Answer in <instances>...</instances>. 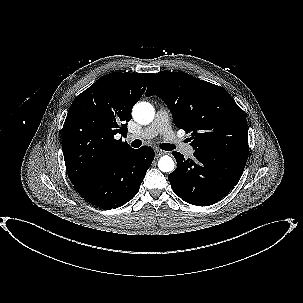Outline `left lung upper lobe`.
Here are the masks:
<instances>
[{
	"label": "left lung upper lobe",
	"instance_id": "obj_1",
	"mask_svg": "<svg viewBox=\"0 0 303 303\" xmlns=\"http://www.w3.org/2000/svg\"><path fill=\"white\" fill-rule=\"evenodd\" d=\"M153 94L166 103L175 126L192 133L195 151L248 157L245 114L222 87L184 72L157 73L146 91Z\"/></svg>",
	"mask_w": 303,
	"mask_h": 303
}]
</instances>
